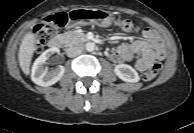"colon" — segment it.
Masks as SVG:
<instances>
[{
	"label": "colon",
	"instance_id": "5ec220e1",
	"mask_svg": "<svg viewBox=\"0 0 194 133\" xmlns=\"http://www.w3.org/2000/svg\"><path fill=\"white\" fill-rule=\"evenodd\" d=\"M67 22V16L64 13L56 14L47 18L42 24L38 25L35 32V46L37 50H41L48 41L54 36L59 28L63 27ZM117 26L123 30L133 31L136 30V24L133 20L127 18L118 17L115 19ZM161 64L155 62L147 69L142 77L145 81L152 80L160 71Z\"/></svg>",
	"mask_w": 194,
	"mask_h": 133
}]
</instances>
